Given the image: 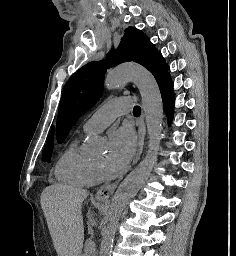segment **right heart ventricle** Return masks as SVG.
Here are the masks:
<instances>
[{"mask_svg":"<svg viewBox=\"0 0 236 256\" xmlns=\"http://www.w3.org/2000/svg\"><path fill=\"white\" fill-rule=\"evenodd\" d=\"M93 164L77 153L76 144L73 142L59 158L55 177L59 182L67 185L87 187L90 185Z\"/></svg>","mask_w":236,"mask_h":256,"instance_id":"e07e8e85","label":"right heart ventricle"}]
</instances>
